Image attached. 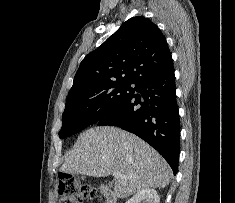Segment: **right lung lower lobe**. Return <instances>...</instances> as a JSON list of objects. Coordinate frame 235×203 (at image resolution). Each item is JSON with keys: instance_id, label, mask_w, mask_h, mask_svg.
<instances>
[{"instance_id": "obj_1", "label": "right lung lower lobe", "mask_w": 235, "mask_h": 203, "mask_svg": "<svg viewBox=\"0 0 235 203\" xmlns=\"http://www.w3.org/2000/svg\"><path fill=\"white\" fill-rule=\"evenodd\" d=\"M139 94L97 122L98 126H117L139 136L155 148L178 171L180 120L176 104L173 64L150 74L137 84Z\"/></svg>"}]
</instances>
